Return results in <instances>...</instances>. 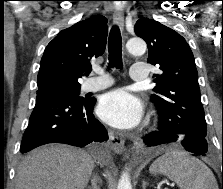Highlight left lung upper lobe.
Segmentation results:
<instances>
[{
    "label": "left lung upper lobe",
    "instance_id": "obj_1",
    "mask_svg": "<svg viewBox=\"0 0 223 189\" xmlns=\"http://www.w3.org/2000/svg\"><path fill=\"white\" fill-rule=\"evenodd\" d=\"M134 30L147 43L148 63L161 71L153 76L156 86L151 96L159 113L161 130L206 139L198 73L186 40L173 29L148 18H140Z\"/></svg>",
    "mask_w": 223,
    "mask_h": 189
}]
</instances>
